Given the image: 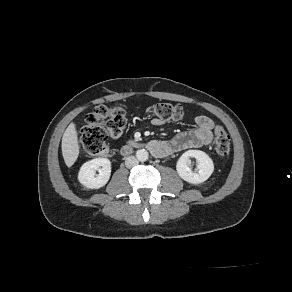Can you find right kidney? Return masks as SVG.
Returning a JSON list of instances; mask_svg holds the SVG:
<instances>
[{
	"label": "right kidney",
	"instance_id": "1",
	"mask_svg": "<svg viewBox=\"0 0 292 292\" xmlns=\"http://www.w3.org/2000/svg\"><path fill=\"white\" fill-rule=\"evenodd\" d=\"M102 167L101 169H99ZM99 174H96L97 170ZM111 175V162L107 158H95L85 162L78 173L79 182L89 189H99L107 184Z\"/></svg>",
	"mask_w": 292,
	"mask_h": 292
}]
</instances>
